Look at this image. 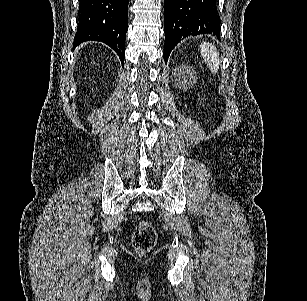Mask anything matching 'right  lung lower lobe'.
<instances>
[{
    "mask_svg": "<svg viewBox=\"0 0 307 301\" xmlns=\"http://www.w3.org/2000/svg\"><path fill=\"white\" fill-rule=\"evenodd\" d=\"M128 3L129 0H80L74 47L85 41L103 42L118 54L123 64Z\"/></svg>",
    "mask_w": 307,
    "mask_h": 301,
    "instance_id": "right-lung-lower-lobe-1",
    "label": "right lung lower lobe"
}]
</instances>
